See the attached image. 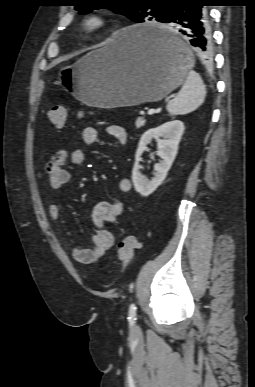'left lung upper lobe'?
Listing matches in <instances>:
<instances>
[{"label": "left lung upper lobe", "mask_w": 255, "mask_h": 387, "mask_svg": "<svg viewBox=\"0 0 255 387\" xmlns=\"http://www.w3.org/2000/svg\"><path fill=\"white\" fill-rule=\"evenodd\" d=\"M181 0H75V9L87 14L95 9L108 8L141 23L151 20L162 22L167 6Z\"/></svg>", "instance_id": "left-lung-upper-lobe-1"}]
</instances>
